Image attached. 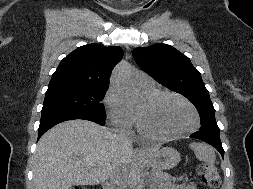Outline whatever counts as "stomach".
I'll return each instance as SVG.
<instances>
[{
    "mask_svg": "<svg viewBox=\"0 0 253 189\" xmlns=\"http://www.w3.org/2000/svg\"><path fill=\"white\" fill-rule=\"evenodd\" d=\"M143 160L153 169L166 170L175 167L179 163L180 154L174 148L165 147L156 152L149 153Z\"/></svg>",
    "mask_w": 253,
    "mask_h": 189,
    "instance_id": "obj_1",
    "label": "stomach"
}]
</instances>
